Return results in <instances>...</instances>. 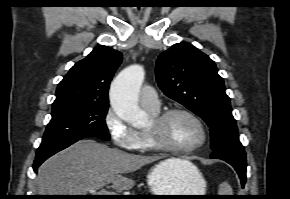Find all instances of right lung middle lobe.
I'll return each mask as SVG.
<instances>
[{"mask_svg": "<svg viewBox=\"0 0 290 199\" xmlns=\"http://www.w3.org/2000/svg\"><path fill=\"white\" fill-rule=\"evenodd\" d=\"M108 104H68L52 109V119L39 148L72 143L85 137L109 140L105 123Z\"/></svg>", "mask_w": 290, "mask_h": 199, "instance_id": "dd1d6c3e", "label": "right lung middle lobe"}]
</instances>
